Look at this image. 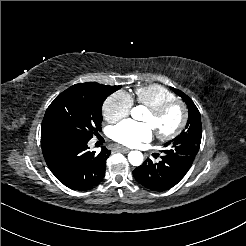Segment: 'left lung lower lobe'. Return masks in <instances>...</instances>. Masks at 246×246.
Returning a JSON list of instances; mask_svg holds the SVG:
<instances>
[{
  "label": "left lung lower lobe",
  "mask_w": 246,
  "mask_h": 246,
  "mask_svg": "<svg viewBox=\"0 0 246 246\" xmlns=\"http://www.w3.org/2000/svg\"><path fill=\"white\" fill-rule=\"evenodd\" d=\"M159 163L150 159L133 171L136 181L153 191H164L175 186L188 172L191 165L184 160L164 154Z\"/></svg>",
  "instance_id": "left-lung-lower-lobe-1"
}]
</instances>
